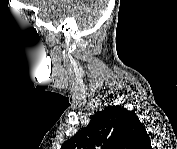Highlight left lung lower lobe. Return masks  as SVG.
I'll list each match as a JSON object with an SVG mask.
<instances>
[{
	"label": "left lung lower lobe",
	"instance_id": "0a47b994",
	"mask_svg": "<svg viewBox=\"0 0 177 149\" xmlns=\"http://www.w3.org/2000/svg\"><path fill=\"white\" fill-rule=\"evenodd\" d=\"M142 142L143 143L141 145V148H143V149H151L149 135H145V137L143 138Z\"/></svg>",
	"mask_w": 177,
	"mask_h": 149
}]
</instances>
